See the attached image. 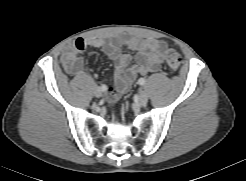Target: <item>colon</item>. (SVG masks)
Instances as JSON below:
<instances>
[{"instance_id":"colon-1","label":"colon","mask_w":246,"mask_h":181,"mask_svg":"<svg viewBox=\"0 0 246 181\" xmlns=\"http://www.w3.org/2000/svg\"><path fill=\"white\" fill-rule=\"evenodd\" d=\"M166 57V65L169 68V70L175 72L179 70L181 66V57L175 50H168L165 54Z\"/></svg>"}]
</instances>
